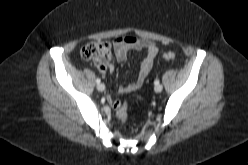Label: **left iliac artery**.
I'll return each instance as SVG.
<instances>
[{"mask_svg": "<svg viewBox=\"0 0 248 165\" xmlns=\"http://www.w3.org/2000/svg\"><path fill=\"white\" fill-rule=\"evenodd\" d=\"M159 82H160V81H159L158 79H156V80L154 81V84L157 85V84H159Z\"/></svg>", "mask_w": 248, "mask_h": 165, "instance_id": "left-iliac-artery-1", "label": "left iliac artery"}]
</instances>
